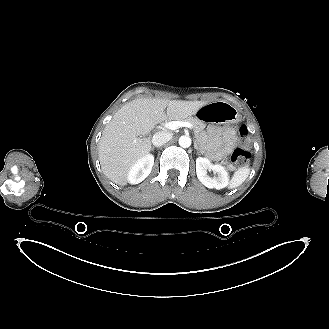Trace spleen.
<instances>
[{
    "mask_svg": "<svg viewBox=\"0 0 329 329\" xmlns=\"http://www.w3.org/2000/svg\"><path fill=\"white\" fill-rule=\"evenodd\" d=\"M250 169L248 167L239 168L233 175L230 183V189L240 186L249 176Z\"/></svg>",
    "mask_w": 329,
    "mask_h": 329,
    "instance_id": "3e777b00",
    "label": "spleen"
}]
</instances>
